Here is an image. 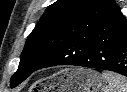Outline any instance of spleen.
Listing matches in <instances>:
<instances>
[{
    "label": "spleen",
    "mask_w": 127,
    "mask_h": 92,
    "mask_svg": "<svg viewBox=\"0 0 127 92\" xmlns=\"http://www.w3.org/2000/svg\"><path fill=\"white\" fill-rule=\"evenodd\" d=\"M102 78L108 84L103 92H127V78L122 75L104 71Z\"/></svg>",
    "instance_id": "spleen-1"
}]
</instances>
